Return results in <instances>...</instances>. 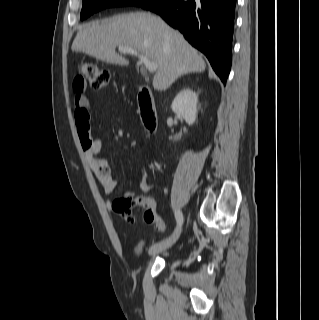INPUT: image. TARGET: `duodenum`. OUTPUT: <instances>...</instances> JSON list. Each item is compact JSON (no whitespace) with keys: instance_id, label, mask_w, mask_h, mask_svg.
<instances>
[{"instance_id":"duodenum-1","label":"duodenum","mask_w":319,"mask_h":320,"mask_svg":"<svg viewBox=\"0 0 319 320\" xmlns=\"http://www.w3.org/2000/svg\"><path fill=\"white\" fill-rule=\"evenodd\" d=\"M138 104L144 126L146 127L149 133H155L157 129L155 104L151 90L147 86H142L139 89Z\"/></svg>"}]
</instances>
